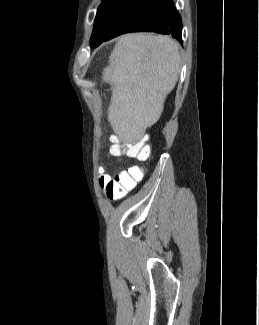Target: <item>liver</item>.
<instances>
[{
    "mask_svg": "<svg viewBox=\"0 0 259 325\" xmlns=\"http://www.w3.org/2000/svg\"><path fill=\"white\" fill-rule=\"evenodd\" d=\"M179 47L164 35L133 33L117 40L102 79L112 86L108 121L120 141L137 143L159 120L179 77Z\"/></svg>",
    "mask_w": 259,
    "mask_h": 325,
    "instance_id": "1",
    "label": "liver"
}]
</instances>
